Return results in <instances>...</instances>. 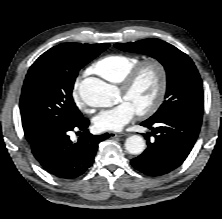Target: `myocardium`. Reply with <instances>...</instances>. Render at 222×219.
Instances as JSON below:
<instances>
[{"instance_id": "f54148a6", "label": "myocardium", "mask_w": 222, "mask_h": 219, "mask_svg": "<svg viewBox=\"0 0 222 219\" xmlns=\"http://www.w3.org/2000/svg\"><path fill=\"white\" fill-rule=\"evenodd\" d=\"M146 68H152L157 76V89L154 98L144 108L136 110L137 114L142 117H148L154 114L164 101L167 84H168V72L163 62L155 58H148L138 62L122 79L119 83L121 91L124 94L130 92L134 86L136 80Z\"/></svg>"}]
</instances>
